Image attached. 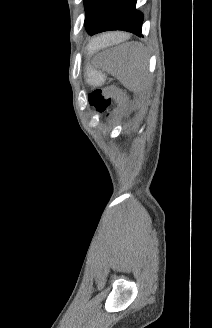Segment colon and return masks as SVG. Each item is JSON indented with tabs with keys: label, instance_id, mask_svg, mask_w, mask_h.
I'll list each match as a JSON object with an SVG mask.
<instances>
[{
	"label": "colon",
	"instance_id": "1",
	"mask_svg": "<svg viewBox=\"0 0 212 328\" xmlns=\"http://www.w3.org/2000/svg\"><path fill=\"white\" fill-rule=\"evenodd\" d=\"M124 100V92L117 87L94 90L88 96L90 106L100 114H103L112 102L122 103Z\"/></svg>",
	"mask_w": 212,
	"mask_h": 328
}]
</instances>
